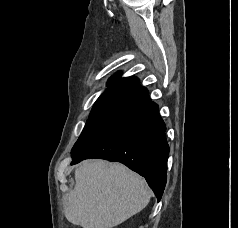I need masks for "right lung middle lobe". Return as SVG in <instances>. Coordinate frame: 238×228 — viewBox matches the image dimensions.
Returning a JSON list of instances; mask_svg holds the SVG:
<instances>
[{
  "instance_id": "right-lung-middle-lobe-1",
  "label": "right lung middle lobe",
  "mask_w": 238,
  "mask_h": 228,
  "mask_svg": "<svg viewBox=\"0 0 238 228\" xmlns=\"http://www.w3.org/2000/svg\"><path fill=\"white\" fill-rule=\"evenodd\" d=\"M117 115H94L90 114L89 119L86 122V125L83 129L82 134L78 138L74 147L72 148V153L75 152L82 145L87 143L105 127H107L114 120L118 119Z\"/></svg>"
}]
</instances>
